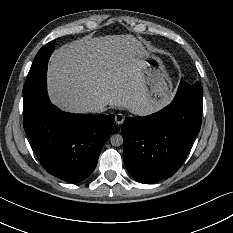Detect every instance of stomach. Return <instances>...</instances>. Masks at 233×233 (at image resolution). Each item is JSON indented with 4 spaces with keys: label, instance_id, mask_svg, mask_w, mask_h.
I'll list each match as a JSON object with an SVG mask.
<instances>
[{
    "label": "stomach",
    "instance_id": "1",
    "mask_svg": "<svg viewBox=\"0 0 233 233\" xmlns=\"http://www.w3.org/2000/svg\"><path fill=\"white\" fill-rule=\"evenodd\" d=\"M135 57L142 61L141 67L147 96L153 106L158 108L167 104L171 98L172 85L161 59L148 50L141 42Z\"/></svg>",
    "mask_w": 233,
    "mask_h": 233
}]
</instances>
